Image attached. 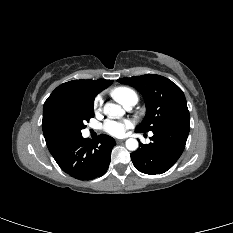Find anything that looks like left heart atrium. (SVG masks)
Here are the masks:
<instances>
[{
  "label": "left heart atrium",
  "instance_id": "39dd6f15",
  "mask_svg": "<svg viewBox=\"0 0 233 233\" xmlns=\"http://www.w3.org/2000/svg\"><path fill=\"white\" fill-rule=\"evenodd\" d=\"M132 126L131 121L123 120V121H114L108 120L104 124V130L115 137H121L125 134L126 130Z\"/></svg>",
  "mask_w": 233,
  "mask_h": 233
}]
</instances>
